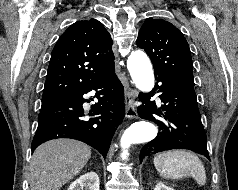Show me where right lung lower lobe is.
<instances>
[{"label": "right lung lower lobe", "instance_id": "right-lung-lower-lobe-1", "mask_svg": "<svg viewBox=\"0 0 238 190\" xmlns=\"http://www.w3.org/2000/svg\"><path fill=\"white\" fill-rule=\"evenodd\" d=\"M96 91L98 102L89 114L98 118L85 119L83 94ZM124 88L114 72L84 86L69 98L41 107L32 151L40 144L61 137L80 140L101 152L105 158L113 134L124 118Z\"/></svg>", "mask_w": 238, "mask_h": 190}]
</instances>
